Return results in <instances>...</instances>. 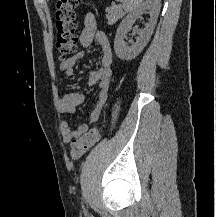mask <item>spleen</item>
Masks as SVG:
<instances>
[{"label":"spleen","mask_w":216,"mask_h":217,"mask_svg":"<svg viewBox=\"0 0 216 217\" xmlns=\"http://www.w3.org/2000/svg\"><path fill=\"white\" fill-rule=\"evenodd\" d=\"M125 11H132L138 7L143 0H121Z\"/></svg>","instance_id":"spleen-1"}]
</instances>
